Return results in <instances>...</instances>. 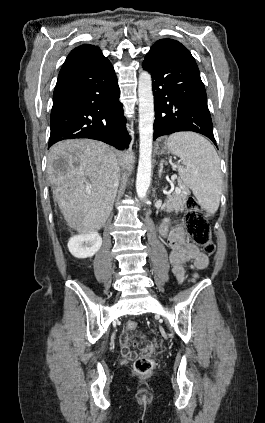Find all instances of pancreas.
I'll return each instance as SVG.
<instances>
[{
	"instance_id": "pancreas-1",
	"label": "pancreas",
	"mask_w": 265,
	"mask_h": 423,
	"mask_svg": "<svg viewBox=\"0 0 265 423\" xmlns=\"http://www.w3.org/2000/svg\"><path fill=\"white\" fill-rule=\"evenodd\" d=\"M181 192H173L172 194L167 196L166 200V210L168 212L175 211L176 213L182 211L184 205L186 203V197L189 193V190L182 184L181 182L178 183Z\"/></svg>"
}]
</instances>
